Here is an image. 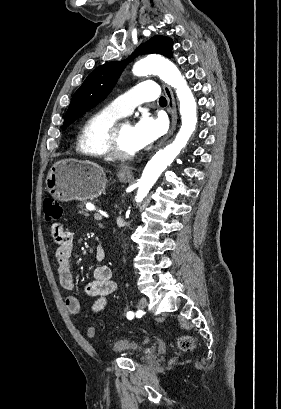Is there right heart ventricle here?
Here are the masks:
<instances>
[{
  "instance_id": "e07e8e85",
  "label": "right heart ventricle",
  "mask_w": 281,
  "mask_h": 409,
  "mask_svg": "<svg viewBox=\"0 0 281 409\" xmlns=\"http://www.w3.org/2000/svg\"><path fill=\"white\" fill-rule=\"evenodd\" d=\"M119 117L120 115L110 108H102L92 113L86 119L81 131L80 150L92 158L107 157L102 143L103 135L106 128Z\"/></svg>"
}]
</instances>
